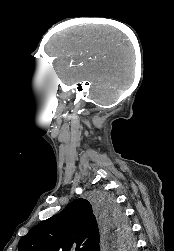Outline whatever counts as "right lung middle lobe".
I'll return each mask as SVG.
<instances>
[{"mask_svg":"<svg viewBox=\"0 0 174 251\" xmlns=\"http://www.w3.org/2000/svg\"><path fill=\"white\" fill-rule=\"evenodd\" d=\"M92 203L102 220L104 228L112 236V245L115 248L131 250L133 243L127 239L129 227L121 209L112 198L105 192H98L93 196Z\"/></svg>","mask_w":174,"mask_h":251,"instance_id":"1","label":"right lung middle lobe"}]
</instances>
